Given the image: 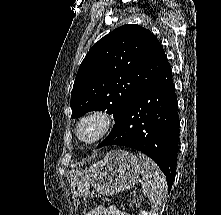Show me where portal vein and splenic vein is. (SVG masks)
<instances>
[{
  "label": "portal vein and splenic vein",
  "instance_id": "obj_1",
  "mask_svg": "<svg viewBox=\"0 0 221 215\" xmlns=\"http://www.w3.org/2000/svg\"><path fill=\"white\" fill-rule=\"evenodd\" d=\"M137 192L136 191H133V194H136Z\"/></svg>",
  "mask_w": 221,
  "mask_h": 215
}]
</instances>
